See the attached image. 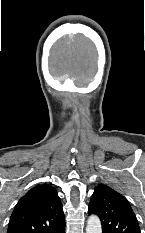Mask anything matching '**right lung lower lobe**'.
Segmentation results:
<instances>
[{
    "mask_svg": "<svg viewBox=\"0 0 145 233\" xmlns=\"http://www.w3.org/2000/svg\"><path fill=\"white\" fill-rule=\"evenodd\" d=\"M53 233H65V223L58 227Z\"/></svg>",
    "mask_w": 145,
    "mask_h": 233,
    "instance_id": "right-lung-lower-lobe-1",
    "label": "right lung lower lobe"
}]
</instances>
